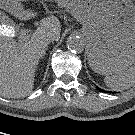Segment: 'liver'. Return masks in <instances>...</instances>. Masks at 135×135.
<instances>
[{
  "label": "liver",
  "mask_w": 135,
  "mask_h": 135,
  "mask_svg": "<svg viewBox=\"0 0 135 135\" xmlns=\"http://www.w3.org/2000/svg\"><path fill=\"white\" fill-rule=\"evenodd\" d=\"M6 7L19 20H29L37 16L36 12L20 6ZM60 31V21L51 16L43 18L35 32L26 38L19 37L15 40L0 35V95L21 98L32 92L39 60L48 46L46 38L54 35L55 40H59Z\"/></svg>",
  "instance_id": "1"
}]
</instances>
